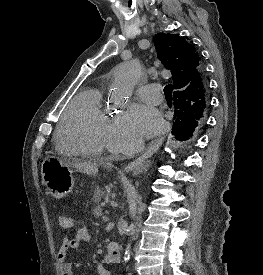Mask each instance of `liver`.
Masks as SVG:
<instances>
[{
    "mask_svg": "<svg viewBox=\"0 0 263 275\" xmlns=\"http://www.w3.org/2000/svg\"><path fill=\"white\" fill-rule=\"evenodd\" d=\"M68 165L72 166L81 173L87 175H96L98 173V163L96 162H78V163H69Z\"/></svg>",
    "mask_w": 263,
    "mask_h": 275,
    "instance_id": "1",
    "label": "liver"
}]
</instances>
